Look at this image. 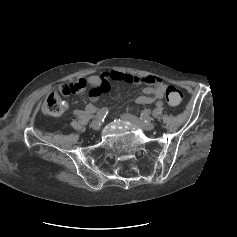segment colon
<instances>
[{
	"label": "colon",
	"mask_w": 237,
	"mask_h": 237,
	"mask_svg": "<svg viewBox=\"0 0 237 237\" xmlns=\"http://www.w3.org/2000/svg\"><path fill=\"white\" fill-rule=\"evenodd\" d=\"M63 94H67L62 91ZM182 92L174 87L169 86L165 92V98L169 105L178 106L182 101ZM64 108V103L57 92H51L42 102V112L47 115H59Z\"/></svg>",
	"instance_id": "5ec220e1"
}]
</instances>
